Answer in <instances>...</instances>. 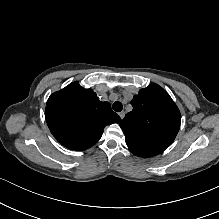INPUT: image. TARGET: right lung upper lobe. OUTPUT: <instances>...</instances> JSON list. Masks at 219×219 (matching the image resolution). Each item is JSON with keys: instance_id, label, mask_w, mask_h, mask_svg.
<instances>
[{"instance_id": "obj_1", "label": "right lung upper lobe", "mask_w": 219, "mask_h": 219, "mask_svg": "<svg viewBox=\"0 0 219 219\" xmlns=\"http://www.w3.org/2000/svg\"><path fill=\"white\" fill-rule=\"evenodd\" d=\"M45 117L57 141L78 151L93 146L106 125L121 122L108 102L99 101L92 89H84L78 82L49 97Z\"/></svg>"}]
</instances>
